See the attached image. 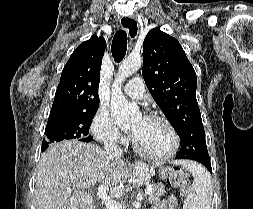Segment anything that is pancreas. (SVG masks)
Here are the masks:
<instances>
[{
    "label": "pancreas",
    "instance_id": "1",
    "mask_svg": "<svg viewBox=\"0 0 253 209\" xmlns=\"http://www.w3.org/2000/svg\"><path fill=\"white\" fill-rule=\"evenodd\" d=\"M152 192L149 194V202L155 204L160 201V198L165 194V186L163 184H154Z\"/></svg>",
    "mask_w": 253,
    "mask_h": 209
}]
</instances>
